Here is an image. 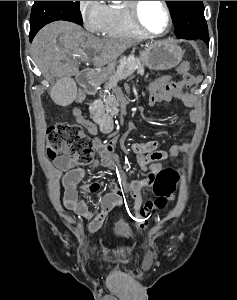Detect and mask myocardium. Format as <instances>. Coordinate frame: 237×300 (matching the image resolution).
Here are the masks:
<instances>
[{
	"mask_svg": "<svg viewBox=\"0 0 237 300\" xmlns=\"http://www.w3.org/2000/svg\"><path fill=\"white\" fill-rule=\"evenodd\" d=\"M143 1H129V10L131 14V18L133 20V23L135 26L144 34L153 36V37H165L171 30L172 27V14H171V9L168 4V1H161L165 14H166V28L162 33H154L150 31L143 23L141 20L140 16V10L142 6Z\"/></svg>",
	"mask_w": 237,
	"mask_h": 300,
	"instance_id": "obj_1",
	"label": "myocardium"
}]
</instances>
